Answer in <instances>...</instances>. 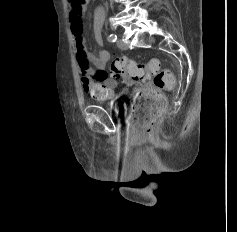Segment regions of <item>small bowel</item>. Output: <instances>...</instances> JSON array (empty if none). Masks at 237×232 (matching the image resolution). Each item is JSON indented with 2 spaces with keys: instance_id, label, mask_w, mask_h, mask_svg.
I'll use <instances>...</instances> for the list:
<instances>
[{
  "instance_id": "small-bowel-1",
  "label": "small bowel",
  "mask_w": 237,
  "mask_h": 232,
  "mask_svg": "<svg viewBox=\"0 0 237 232\" xmlns=\"http://www.w3.org/2000/svg\"><path fill=\"white\" fill-rule=\"evenodd\" d=\"M103 21V11L96 9L93 17V32L98 44L102 43ZM69 23L76 44V56L84 91L97 100L112 99L115 95L114 88L117 86V82L108 75L109 51L101 50L97 56H93L86 51L82 35L80 10L74 8L70 10Z\"/></svg>"
}]
</instances>
